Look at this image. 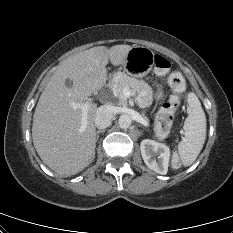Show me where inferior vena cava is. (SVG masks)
Listing matches in <instances>:
<instances>
[{
    "label": "inferior vena cava",
    "mask_w": 233,
    "mask_h": 233,
    "mask_svg": "<svg viewBox=\"0 0 233 233\" xmlns=\"http://www.w3.org/2000/svg\"><path fill=\"white\" fill-rule=\"evenodd\" d=\"M113 117L114 109L112 106H100L95 115V126L99 129H105L111 125Z\"/></svg>",
    "instance_id": "602c4592"
}]
</instances>
